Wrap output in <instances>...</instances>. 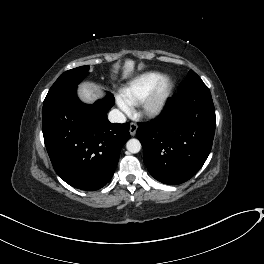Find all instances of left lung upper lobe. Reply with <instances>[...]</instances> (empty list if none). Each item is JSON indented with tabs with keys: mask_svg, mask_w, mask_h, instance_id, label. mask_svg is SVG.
Returning a JSON list of instances; mask_svg holds the SVG:
<instances>
[{
	"mask_svg": "<svg viewBox=\"0 0 264 264\" xmlns=\"http://www.w3.org/2000/svg\"><path fill=\"white\" fill-rule=\"evenodd\" d=\"M204 86L206 85L203 83L202 79L193 70H190L187 74L186 79L179 86L178 92L189 88Z\"/></svg>",
	"mask_w": 264,
	"mask_h": 264,
	"instance_id": "left-lung-upper-lobe-1",
	"label": "left lung upper lobe"
}]
</instances>
